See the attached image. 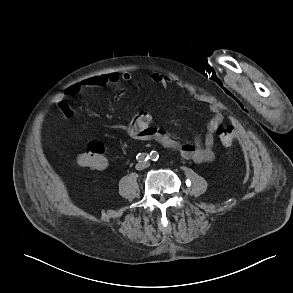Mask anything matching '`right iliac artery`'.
Here are the masks:
<instances>
[{"label":"right iliac artery","instance_id":"1","mask_svg":"<svg viewBox=\"0 0 293 293\" xmlns=\"http://www.w3.org/2000/svg\"><path fill=\"white\" fill-rule=\"evenodd\" d=\"M136 159L139 162H145L149 159V155L147 153H139L137 154Z\"/></svg>","mask_w":293,"mask_h":293}]
</instances>
